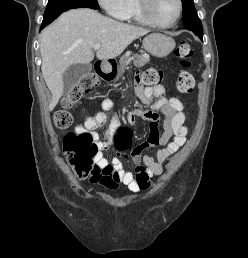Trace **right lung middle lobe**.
I'll list each match as a JSON object with an SVG mask.
<instances>
[{
  "label": "right lung middle lobe",
  "instance_id": "right-lung-middle-lobe-1",
  "mask_svg": "<svg viewBox=\"0 0 248 258\" xmlns=\"http://www.w3.org/2000/svg\"><path fill=\"white\" fill-rule=\"evenodd\" d=\"M79 7H91L98 9L99 5L97 0H49L43 20H48L64 11Z\"/></svg>",
  "mask_w": 248,
  "mask_h": 258
}]
</instances>
